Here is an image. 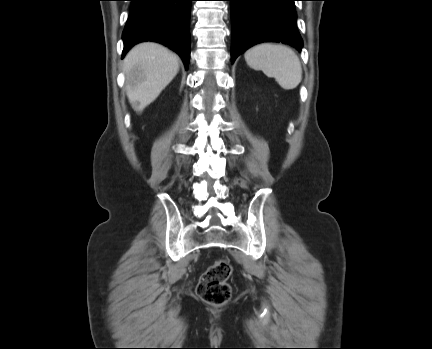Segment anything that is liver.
Returning a JSON list of instances; mask_svg holds the SVG:
<instances>
[{"label":"liver","instance_id":"liver-1","mask_svg":"<svg viewBox=\"0 0 432 349\" xmlns=\"http://www.w3.org/2000/svg\"><path fill=\"white\" fill-rule=\"evenodd\" d=\"M123 71L129 102L136 112H142L176 76L179 59L162 45L144 42L127 53Z\"/></svg>","mask_w":432,"mask_h":349}]
</instances>
